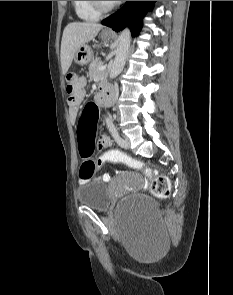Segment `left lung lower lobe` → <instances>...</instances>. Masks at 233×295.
<instances>
[{
  "instance_id": "left-lung-lower-lobe-1",
  "label": "left lung lower lobe",
  "mask_w": 233,
  "mask_h": 295,
  "mask_svg": "<svg viewBox=\"0 0 233 295\" xmlns=\"http://www.w3.org/2000/svg\"><path fill=\"white\" fill-rule=\"evenodd\" d=\"M155 1H127L124 6L104 19L101 23L119 32L128 26L133 35H137L141 26L142 18L148 10H152Z\"/></svg>"
}]
</instances>
